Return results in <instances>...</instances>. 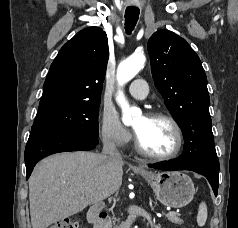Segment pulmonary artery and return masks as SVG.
<instances>
[{
  "label": "pulmonary artery",
  "instance_id": "obj_1",
  "mask_svg": "<svg viewBox=\"0 0 238 228\" xmlns=\"http://www.w3.org/2000/svg\"><path fill=\"white\" fill-rule=\"evenodd\" d=\"M128 91L132 97L144 99L147 96V83L143 79H136L130 84Z\"/></svg>",
  "mask_w": 238,
  "mask_h": 228
}]
</instances>
